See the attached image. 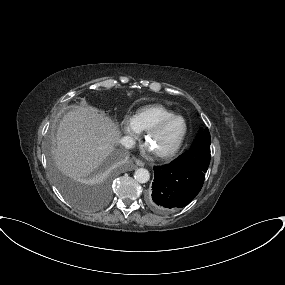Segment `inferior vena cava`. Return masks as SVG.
<instances>
[{
  "instance_id": "obj_1",
  "label": "inferior vena cava",
  "mask_w": 285,
  "mask_h": 285,
  "mask_svg": "<svg viewBox=\"0 0 285 285\" xmlns=\"http://www.w3.org/2000/svg\"><path fill=\"white\" fill-rule=\"evenodd\" d=\"M120 143L127 149H130L134 146L135 141L130 136H124L120 139Z\"/></svg>"
}]
</instances>
